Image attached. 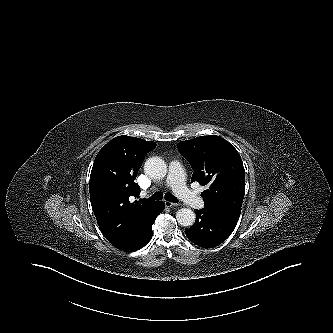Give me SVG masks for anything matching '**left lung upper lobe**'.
<instances>
[{"label": "left lung upper lobe", "mask_w": 333, "mask_h": 333, "mask_svg": "<svg viewBox=\"0 0 333 333\" xmlns=\"http://www.w3.org/2000/svg\"><path fill=\"white\" fill-rule=\"evenodd\" d=\"M178 150L194 170L191 182L207 188L201 194L205 208L238 222L245 193V170L238 151L216 135L181 141Z\"/></svg>", "instance_id": "left-lung-upper-lobe-1"}]
</instances>
